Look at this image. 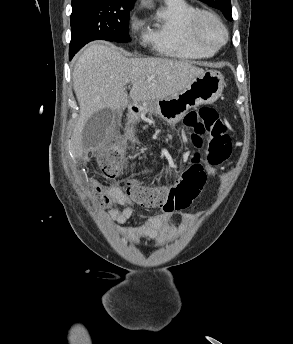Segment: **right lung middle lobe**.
Wrapping results in <instances>:
<instances>
[{
	"mask_svg": "<svg viewBox=\"0 0 293 344\" xmlns=\"http://www.w3.org/2000/svg\"><path fill=\"white\" fill-rule=\"evenodd\" d=\"M132 8L133 4L98 0L72 4L70 58L93 40L129 42V11Z\"/></svg>",
	"mask_w": 293,
	"mask_h": 344,
	"instance_id": "1",
	"label": "right lung middle lobe"
}]
</instances>
